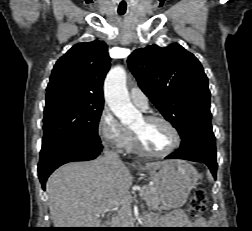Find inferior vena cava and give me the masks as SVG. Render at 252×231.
<instances>
[{
    "instance_id": "1",
    "label": "inferior vena cava",
    "mask_w": 252,
    "mask_h": 231,
    "mask_svg": "<svg viewBox=\"0 0 252 231\" xmlns=\"http://www.w3.org/2000/svg\"><path fill=\"white\" fill-rule=\"evenodd\" d=\"M104 156L102 157V161L107 164H121V160L119 155L116 152L110 151L107 147L103 150Z\"/></svg>"
}]
</instances>
